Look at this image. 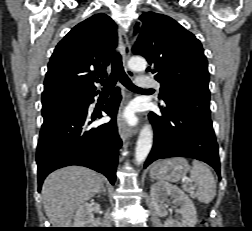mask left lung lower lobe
Listing matches in <instances>:
<instances>
[{
  "instance_id": "0a47b994",
  "label": "left lung lower lobe",
  "mask_w": 252,
  "mask_h": 231,
  "mask_svg": "<svg viewBox=\"0 0 252 231\" xmlns=\"http://www.w3.org/2000/svg\"><path fill=\"white\" fill-rule=\"evenodd\" d=\"M163 116L151 112L154 144L144 164L157 159L190 157L212 166L220 178L218 145L211 121L210 95L196 88H183L168 94Z\"/></svg>"
}]
</instances>
